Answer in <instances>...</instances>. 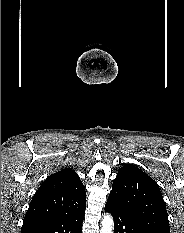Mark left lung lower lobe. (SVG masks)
<instances>
[{"instance_id":"0a47b994","label":"left lung lower lobe","mask_w":184,"mask_h":233,"mask_svg":"<svg viewBox=\"0 0 184 233\" xmlns=\"http://www.w3.org/2000/svg\"><path fill=\"white\" fill-rule=\"evenodd\" d=\"M105 211L114 218V233H149L137 220L119 205L107 200Z\"/></svg>"}]
</instances>
